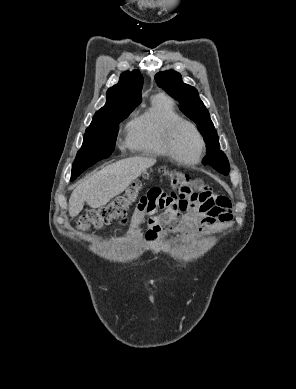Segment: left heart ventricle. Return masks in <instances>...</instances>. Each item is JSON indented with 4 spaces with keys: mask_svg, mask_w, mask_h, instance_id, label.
I'll use <instances>...</instances> for the list:
<instances>
[{
    "mask_svg": "<svg viewBox=\"0 0 296 389\" xmlns=\"http://www.w3.org/2000/svg\"><path fill=\"white\" fill-rule=\"evenodd\" d=\"M176 153L183 159L193 160L199 153V141L195 133L188 126L178 129L174 139Z\"/></svg>",
    "mask_w": 296,
    "mask_h": 389,
    "instance_id": "b2bd125f",
    "label": "left heart ventricle"
}]
</instances>
